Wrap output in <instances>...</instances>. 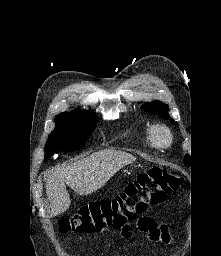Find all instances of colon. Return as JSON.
<instances>
[{
  "label": "colon",
  "mask_w": 221,
  "mask_h": 256,
  "mask_svg": "<svg viewBox=\"0 0 221 256\" xmlns=\"http://www.w3.org/2000/svg\"><path fill=\"white\" fill-rule=\"evenodd\" d=\"M182 183V178L169 170L152 167L127 184L117 196L91 202L62 218L58 224L59 230L61 233L123 230L150 206L163 203Z\"/></svg>",
  "instance_id": "obj_1"
}]
</instances>
